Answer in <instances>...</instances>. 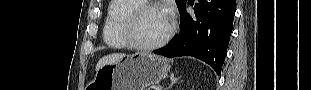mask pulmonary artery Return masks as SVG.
<instances>
[{
  "mask_svg": "<svg viewBox=\"0 0 311 90\" xmlns=\"http://www.w3.org/2000/svg\"><path fill=\"white\" fill-rule=\"evenodd\" d=\"M141 1L144 2V3L147 2V0H141Z\"/></svg>",
  "mask_w": 311,
  "mask_h": 90,
  "instance_id": "obj_1",
  "label": "pulmonary artery"
}]
</instances>
